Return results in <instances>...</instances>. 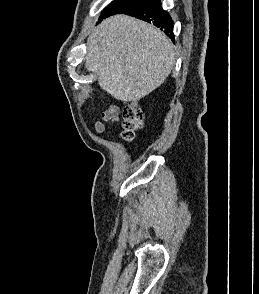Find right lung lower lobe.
Here are the masks:
<instances>
[{"instance_id":"1","label":"right lung lower lobe","mask_w":259,"mask_h":294,"mask_svg":"<svg viewBox=\"0 0 259 294\" xmlns=\"http://www.w3.org/2000/svg\"><path fill=\"white\" fill-rule=\"evenodd\" d=\"M121 14L153 23L174 41L173 21L169 14L162 9L160 0H141Z\"/></svg>"}]
</instances>
